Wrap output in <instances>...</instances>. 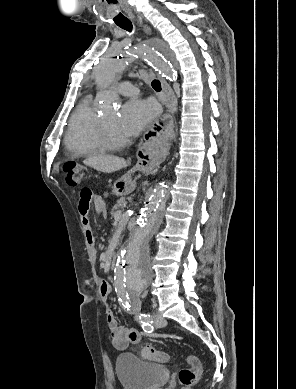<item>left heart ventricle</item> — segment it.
<instances>
[{"instance_id":"obj_1","label":"left heart ventricle","mask_w":296,"mask_h":389,"mask_svg":"<svg viewBox=\"0 0 296 389\" xmlns=\"http://www.w3.org/2000/svg\"><path fill=\"white\" fill-rule=\"evenodd\" d=\"M106 123L107 129L113 138L125 137L117 127L118 115L116 113L107 114L102 117Z\"/></svg>"}]
</instances>
